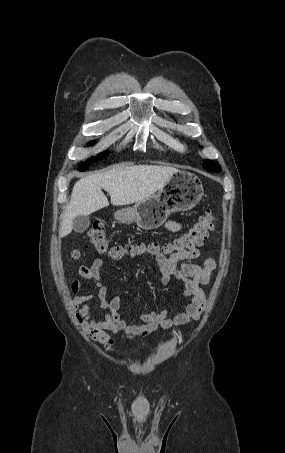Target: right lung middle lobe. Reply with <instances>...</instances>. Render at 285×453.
<instances>
[{"label": "right lung middle lobe", "instance_id": "dd1d6c3e", "mask_svg": "<svg viewBox=\"0 0 285 453\" xmlns=\"http://www.w3.org/2000/svg\"><path fill=\"white\" fill-rule=\"evenodd\" d=\"M107 153L106 152H103V153H100L97 157H94L91 159V161L95 160V159H98V158H102L106 155ZM87 170V165H83L82 167H80V171H85Z\"/></svg>", "mask_w": 285, "mask_h": 453}]
</instances>
